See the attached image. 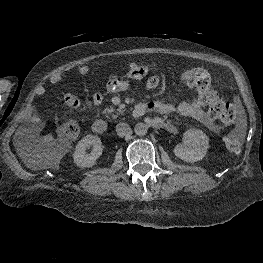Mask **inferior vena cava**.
Returning <instances> with one entry per match:
<instances>
[{"instance_id": "602c4592", "label": "inferior vena cava", "mask_w": 263, "mask_h": 263, "mask_svg": "<svg viewBox=\"0 0 263 263\" xmlns=\"http://www.w3.org/2000/svg\"><path fill=\"white\" fill-rule=\"evenodd\" d=\"M130 131L131 129L127 123L121 122L116 126L117 135L120 137L128 135Z\"/></svg>"}]
</instances>
